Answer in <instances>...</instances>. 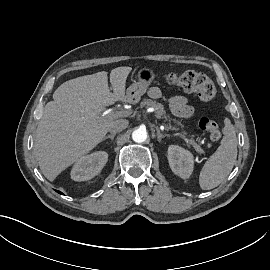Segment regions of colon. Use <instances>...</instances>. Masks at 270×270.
I'll list each match as a JSON object with an SVG mask.
<instances>
[{
  "instance_id": "5ec220e1",
  "label": "colon",
  "mask_w": 270,
  "mask_h": 270,
  "mask_svg": "<svg viewBox=\"0 0 270 270\" xmlns=\"http://www.w3.org/2000/svg\"><path fill=\"white\" fill-rule=\"evenodd\" d=\"M166 81L172 85L181 86L188 92L196 93L200 100L208 102L216 96V88L211 79L204 73L188 70L181 75L169 73ZM199 127L209 138L218 141L221 138L220 125L207 117L200 119Z\"/></svg>"
}]
</instances>
